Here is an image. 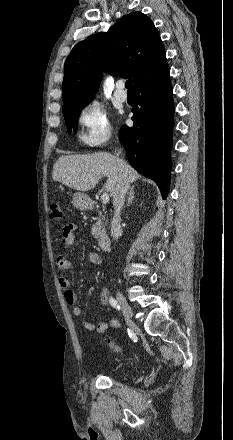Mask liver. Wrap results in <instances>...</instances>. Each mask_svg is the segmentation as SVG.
I'll list each match as a JSON object with an SVG mask.
<instances>
[{
    "label": "liver",
    "instance_id": "liver-1",
    "mask_svg": "<svg viewBox=\"0 0 233 440\" xmlns=\"http://www.w3.org/2000/svg\"><path fill=\"white\" fill-rule=\"evenodd\" d=\"M125 174L128 183L136 181L140 175L124 162L121 172L118 158L107 152L90 155H64L53 166L52 179L77 191H89L106 176L104 190L114 194L120 176Z\"/></svg>",
    "mask_w": 233,
    "mask_h": 440
}]
</instances>
